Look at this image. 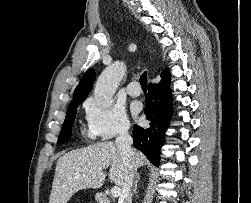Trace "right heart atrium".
<instances>
[{
    "mask_svg": "<svg viewBox=\"0 0 251 203\" xmlns=\"http://www.w3.org/2000/svg\"><path fill=\"white\" fill-rule=\"evenodd\" d=\"M85 108L91 136L108 141L125 134L130 127L129 120L121 107H104L95 99H89Z\"/></svg>",
    "mask_w": 251,
    "mask_h": 203,
    "instance_id": "obj_1",
    "label": "right heart atrium"
}]
</instances>
